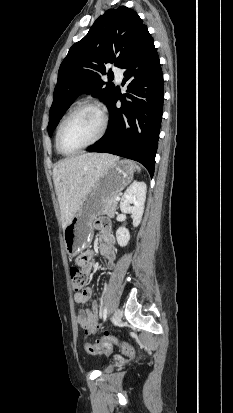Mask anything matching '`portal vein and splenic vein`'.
Instances as JSON below:
<instances>
[{"label":"portal vein and splenic vein","mask_w":233,"mask_h":413,"mask_svg":"<svg viewBox=\"0 0 233 413\" xmlns=\"http://www.w3.org/2000/svg\"><path fill=\"white\" fill-rule=\"evenodd\" d=\"M115 200H116V201H119V200H120V197H119V196L115 197Z\"/></svg>","instance_id":"1"}]
</instances>
